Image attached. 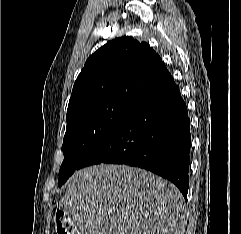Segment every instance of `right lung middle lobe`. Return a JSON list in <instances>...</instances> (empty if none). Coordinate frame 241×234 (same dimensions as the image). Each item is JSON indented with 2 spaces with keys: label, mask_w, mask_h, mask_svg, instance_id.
<instances>
[{
  "label": "right lung middle lobe",
  "mask_w": 241,
  "mask_h": 234,
  "mask_svg": "<svg viewBox=\"0 0 241 234\" xmlns=\"http://www.w3.org/2000/svg\"><path fill=\"white\" fill-rule=\"evenodd\" d=\"M125 101H108L79 108L66 115L63 140L64 161L59 170L58 186L80 168L89 151L108 134L133 108Z\"/></svg>",
  "instance_id": "dd1d6c3e"
}]
</instances>
